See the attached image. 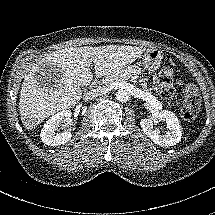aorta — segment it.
Listing matches in <instances>:
<instances>
[{
  "instance_id": "obj_1",
  "label": "aorta",
  "mask_w": 215,
  "mask_h": 215,
  "mask_svg": "<svg viewBox=\"0 0 215 215\" xmlns=\"http://www.w3.org/2000/svg\"><path fill=\"white\" fill-rule=\"evenodd\" d=\"M115 98L118 102L125 103L129 101L130 95L124 89H119L115 92Z\"/></svg>"
}]
</instances>
